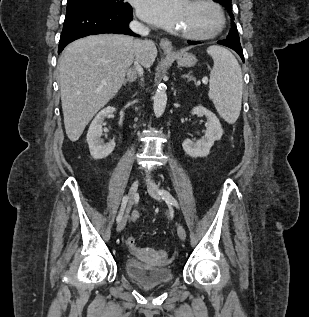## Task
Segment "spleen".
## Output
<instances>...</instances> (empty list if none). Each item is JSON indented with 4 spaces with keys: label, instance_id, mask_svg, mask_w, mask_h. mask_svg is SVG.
Wrapping results in <instances>:
<instances>
[{
    "label": "spleen",
    "instance_id": "obj_1",
    "mask_svg": "<svg viewBox=\"0 0 309 317\" xmlns=\"http://www.w3.org/2000/svg\"><path fill=\"white\" fill-rule=\"evenodd\" d=\"M214 65L210 72L208 96L219 115L228 123L236 122L240 115L243 91L241 67L226 48L213 45L207 48Z\"/></svg>",
    "mask_w": 309,
    "mask_h": 317
}]
</instances>
